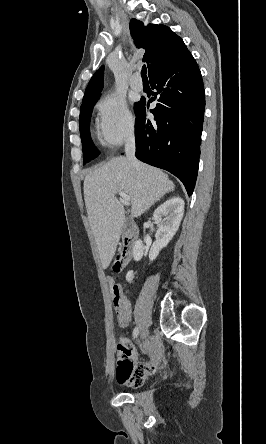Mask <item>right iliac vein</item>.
<instances>
[{
	"label": "right iliac vein",
	"instance_id": "1",
	"mask_svg": "<svg viewBox=\"0 0 266 444\" xmlns=\"http://www.w3.org/2000/svg\"><path fill=\"white\" fill-rule=\"evenodd\" d=\"M147 334H148V329L145 327L140 332L139 342L143 341L147 337Z\"/></svg>",
	"mask_w": 266,
	"mask_h": 444
}]
</instances>
